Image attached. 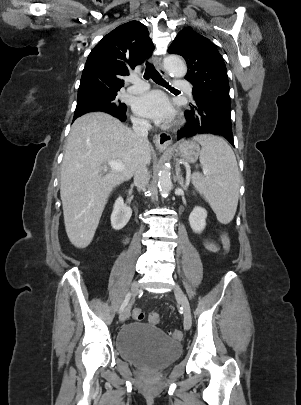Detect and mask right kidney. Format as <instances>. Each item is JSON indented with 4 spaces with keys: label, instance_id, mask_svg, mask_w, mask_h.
Wrapping results in <instances>:
<instances>
[{
    "label": "right kidney",
    "instance_id": "obj_1",
    "mask_svg": "<svg viewBox=\"0 0 301 405\" xmlns=\"http://www.w3.org/2000/svg\"><path fill=\"white\" fill-rule=\"evenodd\" d=\"M132 209L127 206L122 197H118L114 203L111 214V226L115 230H121L130 220Z\"/></svg>",
    "mask_w": 301,
    "mask_h": 405
}]
</instances>
